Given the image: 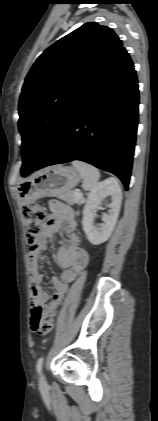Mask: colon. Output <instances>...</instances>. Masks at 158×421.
Segmentation results:
<instances>
[{"mask_svg":"<svg viewBox=\"0 0 158 421\" xmlns=\"http://www.w3.org/2000/svg\"><path fill=\"white\" fill-rule=\"evenodd\" d=\"M22 216L27 228V240L31 250L36 249L41 237L42 228L46 219L45 210L39 205H25L22 208ZM53 328L50 319L41 321L35 330L40 334H47Z\"/></svg>","mask_w":158,"mask_h":421,"instance_id":"1","label":"colon"}]
</instances>
